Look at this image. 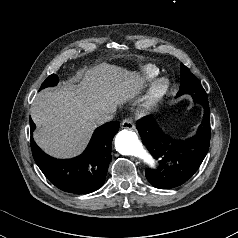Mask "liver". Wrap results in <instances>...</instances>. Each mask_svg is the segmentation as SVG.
Masks as SVG:
<instances>
[{
	"mask_svg": "<svg viewBox=\"0 0 238 238\" xmlns=\"http://www.w3.org/2000/svg\"><path fill=\"white\" fill-rule=\"evenodd\" d=\"M138 90L136 72L107 63L94 66L78 75V84L65 83L37 94L30 110L37 126L33 137L53 157H75L97 127L96 116L115 112Z\"/></svg>",
	"mask_w": 238,
	"mask_h": 238,
	"instance_id": "6515ba94",
	"label": "liver"
}]
</instances>
